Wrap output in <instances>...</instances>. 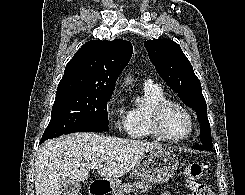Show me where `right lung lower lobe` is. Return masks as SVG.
<instances>
[{"instance_id": "obj_1", "label": "right lung lower lobe", "mask_w": 245, "mask_h": 195, "mask_svg": "<svg viewBox=\"0 0 245 195\" xmlns=\"http://www.w3.org/2000/svg\"><path fill=\"white\" fill-rule=\"evenodd\" d=\"M108 130H109L108 125L92 124V125H86V126L77 128V129H75V130H73V131H71L69 133L81 132V131H86V132H101V131H108ZM41 143H42V141H41Z\"/></svg>"}]
</instances>
